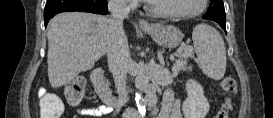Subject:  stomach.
<instances>
[{"instance_id": "1", "label": "stomach", "mask_w": 273, "mask_h": 118, "mask_svg": "<svg viewBox=\"0 0 273 118\" xmlns=\"http://www.w3.org/2000/svg\"><path fill=\"white\" fill-rule=\"evenodd\" d=\"M153 40L162 47L175 48L177 47L184 35L175 26L156 24L144 29Z\"/></svg>"}]
</instances>
